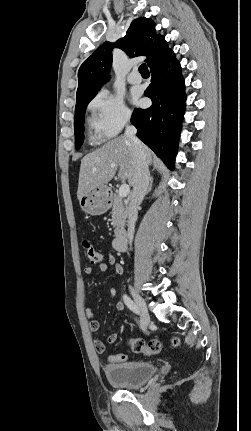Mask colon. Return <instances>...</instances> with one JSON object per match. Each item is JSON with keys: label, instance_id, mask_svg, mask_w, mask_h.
<instances>
[{"label": "colon", "instance_id": "colon-1", "mask_svg": "<svg viewBox=\"0 0 251 431\" xmlns=\"http://www.w3.org/2000/svg\"><path fill=\"white\" fill-rule=\"evenodd\" d=\"M83 249L86 257L92 264H100L102 262V255L94 248V246L88 240H83ZM131 350L135 353H143L145 355H157L163 350L162 343L157 339H151L144 341L142 339H131L128 342ZM171 345L173 347H179L181 340L178 337L173 338ZM106 360L112 362V364L119 366L123 365L128 360L126 353H108Z\"/></svg>", "mask_w": 251, "mask_h": 431}]
</instances>
